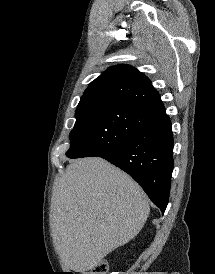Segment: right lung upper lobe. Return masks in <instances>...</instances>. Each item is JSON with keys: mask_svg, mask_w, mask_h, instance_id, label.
I'll use <instances>...</instances> for the list:
<instances>
[{"mask_svg": "<svg viewBox=\"0 0 215 274\" xmlns=\"http://www.w3.org/2000/svg\"><path fill=\"white\" fill-rule=\"evenodd\" d=\"M99 100L119 101L158 116L165 113L150 80L130 65L109 67L89 84L79 103Z\"/></svg>", "mask_w": 215, "mask_h": 274, "instance_id": "1", "label": "right lung upper lobe"}]
</instances>
